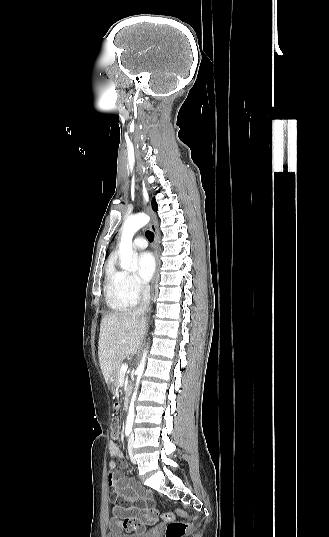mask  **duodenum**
Listing matches in <instances>:
<instances>
[{"mask_svg":"<svg viewBox=\"0 0 329 537\" xmlns=\"http://www.w3.org/2000/svg\"><path fill=\"white\" fill-rule=\"evenodd\" d=\"M124 405H125V407L127 406V399H125V401H124Z\"/></svg>","mask_w":329,"mask_h":537,"instance_id":"410a0bca","label":"duodenum"}]
</instances>
